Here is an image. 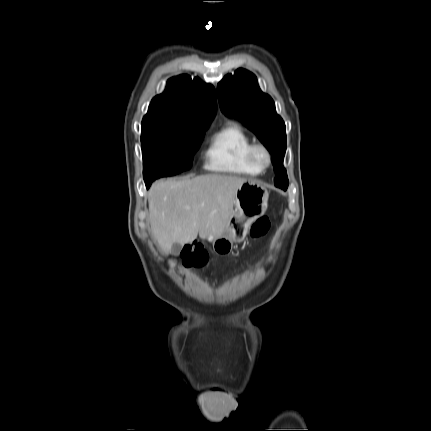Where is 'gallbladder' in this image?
Here are the masks:
<instances>
[{"label": "gallbladder", "mask_w": 431, "mask_h": 431, "mask_svg": "<svg viewBox=\"0 0 431 431\" xmlns=\"http://www.w3.org/2000/svg\"><path fill=\"white\" fill-rule=\"evenodd\" d=\"M181 249H182V245L179 243H174L172 245V253L174 255H178L180 253Z\"/></svg>", "instance_id": "gallbladder-1"}]
</instances>
